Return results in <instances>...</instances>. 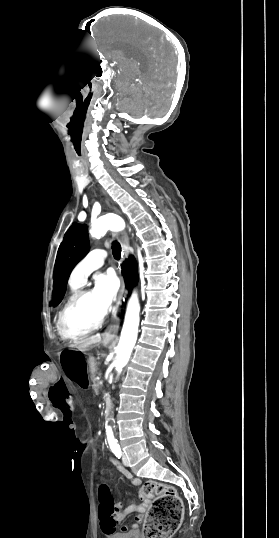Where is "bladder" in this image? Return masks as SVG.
Here are the masks:
<instances>
[{"label":"bladder","instance_id":"1","mask_svg":"<svg viewBox=\"0 0 279 538\" xmlns=\"http://www.w3.org/2000/svg\"><path fill=\"white\" fill-rule=\"evenodd\" d=\"M108 538H139L138 532H109Z\"/></svg>","mask_w":279,"mask_h":538}]
</instances>
